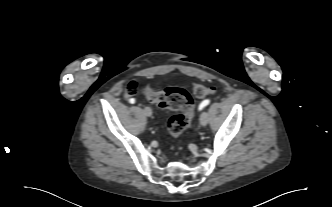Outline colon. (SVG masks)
I'll list each match as a JSON object with an SVG mask.
<instances>
[{
	"label": "colon",
	"instance_id": "5ec220e1",
	"mask_svg": "<svg viewBox=\"0 0 332 207\" xmlns=\"http://www.w3.org/2000/svg\"><path fill=\"white\" fill-rule=\"evenodd\" d=\"M137 91V84L131 82L127 86L126 94L128 96L134 95ZM215 91V87H205L200 84H196L193 88V93L198 98L214 94ZM142 92L148 100L159 107L179 111L168 122V131L173 138L180 136L189 127L193 116L194 105L190 94L186 90L181 88H167L158 91L147 87Z\"/></svg>",
	"mask_w": 332,
	"mask_h": 207
}]
</instances>
